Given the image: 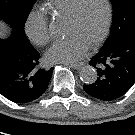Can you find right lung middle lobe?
<instances>
[{
  "label": "right lung middle lobe",
  "instance_id": "dd1d6c3e",
  "mask_svg": "<svg viewBox=\"0 0 135 135\" xmlns=\"http://www.w3.org/2000/svg\"><path fill=\"white\" fill-rule=\"evenodd\" d=\"M36 0H0V19L24 34V24Z\"/></svg>",
  "mask_w": 135,
  "mask_h": 135
}]
</instances>
